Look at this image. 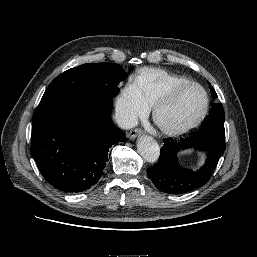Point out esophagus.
Listing matches in <instances>:
<instances>
[{"instance_id": "34e87169", "label": "esophagus", "mask_w": 257, "mask_h": 257, "mask_svg": "<svg viewBox=\"0 0 257 257\" xmlns=\"http://www.w3.org/2000/svg\"><path fill=\"white\" fill-rule=\"evenodd\" d=\"M141 133H142L141 129H138V128L132 129V130L129 131L128 137H129L130 139H135L136 137H138L139 135H141Z\"/></svg>"}]
</instances>
